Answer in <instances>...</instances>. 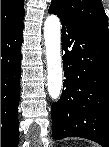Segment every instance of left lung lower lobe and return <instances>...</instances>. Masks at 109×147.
Returning a JSON list of instances; mask_svg holds the SVG:
<instances>
[{"instance_id": "1", "label": "left lung lower lobe", "mask_w": 109, "mask_h": 147, "mask_svg": "<svg viewBox=\"0 0 109 147\" xmlns=\"http://www.w3.org/2000/svg\"><path fill=\"white\" fill-rule=\"evenodd\" d=\"M49 13L62 23L64 76L77 71L81 80L77 92L64 80L62 96L52 105L53 138L81 137L109 147V38Z\"/></svg>"}]
</instances>
